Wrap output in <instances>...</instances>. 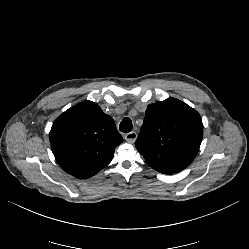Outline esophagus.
<instances>
[{
  "instance_id": "34e87169",
  "label": "esophagus",
  "mask_w": 249,
  "mask_h": 249,
  "mask_svg": "<svg viewBox=\"0 0 249 249\" xmlns=\"http://www.w3.org/2000/svg\"><path fill=\"white\" fill-rule=\"evenodd\" d=\"M137 137H138L137 133L135 131H132L125 134L124 139L129 143H134Z\"/></svg>"
}]
</instances>
